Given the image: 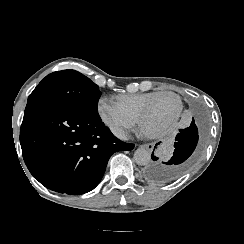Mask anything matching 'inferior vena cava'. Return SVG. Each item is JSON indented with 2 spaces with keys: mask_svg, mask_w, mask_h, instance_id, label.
<instances>
[{
  "mask_svg": "<svg viewBox=\"0 0 244 244\" xmlns=\"http://www.w3.org/2000/svg\"><path fill=\"white\" fill-rule=\"evenodd\" d=\"M112 132L117 138H119L121 140H128L127 133L123 129L113 128Z\"/></svg>",
  "mask_w": 244,
  "mask_h": 244,
  "instance_id": "obj_1",
  "label": "inferior vena cava"
}]
</instances>
